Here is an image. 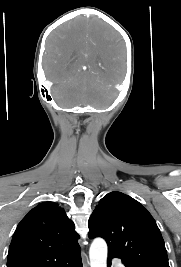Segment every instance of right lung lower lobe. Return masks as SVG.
I'll return each mask as SVG.
<instances>
[{
    "label": "right lung lower lobe",
    "mask_w": 181,
    "mask_h": 267,
    "mask_svg": "<svg viewBox=\"0 0 181 267\" xmlns=\"http://www.w3.org/2000/svg\"><path fill=\"white\" fill-rule=\"evenodd\" d=\"M47 267H82L80 251L61 258Z\"/></svg>",
    "instance_id": "98d812e1"
}]
</instances>
